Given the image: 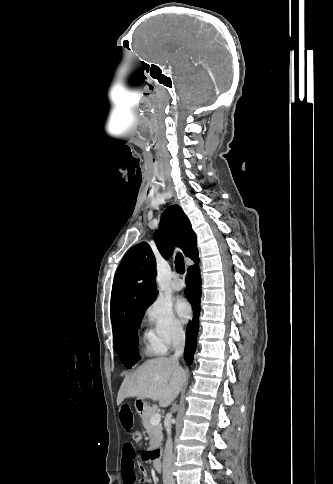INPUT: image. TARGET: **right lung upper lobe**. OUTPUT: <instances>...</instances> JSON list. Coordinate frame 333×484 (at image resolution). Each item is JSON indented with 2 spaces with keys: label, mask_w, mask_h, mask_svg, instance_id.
I'll return each instance as SVG.
<instances>
[{
  "label": "right lung upper lobe",
  "mask_w": 333,
  "mask_h": 484,
  "mask_svg": "<svg viewBox=\"0 0 333 484\" xmlns=\"http://www.w3.org/2000/svg\"><path fill=\"white\" fill-rule=\"evenodd\" d=\"M154 240L160 254L168 259L174 246H180L185 256L198 261L196 234L185 213L178 205L168 207L160 221ZM156 260L150 246L141 242L124 256L116 272L110 306L113 336L125 319L144 310L156 295Z\"/></svg>",
  "instance_id": "right-lung-upper-lobe-1"
}]
</instances>
